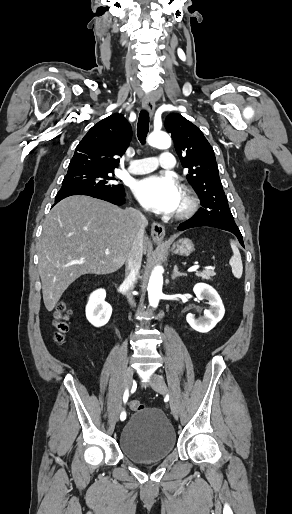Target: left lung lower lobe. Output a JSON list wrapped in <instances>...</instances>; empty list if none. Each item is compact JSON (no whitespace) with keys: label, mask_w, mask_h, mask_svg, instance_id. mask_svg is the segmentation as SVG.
Listing matches in <instances>:
<instances>
[{"label":"left lung lower lobe","mask_w":292,"mask_h":514,"mask_svg":"<svg viewBox=\"0 0 292 514\" xmlns=\"http://www.w3.org/2000/svg\"><path fill=\"white\" fill-rule=\"evenodd\" d=\"M201 226L215 227V228H218V229H222V230H226V231L232 232L238 238L240 244L244 247L243 237H242V235L240 233V230L237 227V225H229L227 223L216 221V220H199L194 215L189 220L181 223L178 226V230L179 231H183V230H186V229H189V228L201 227Z\"/></svg>","instance_id":"left-lung-lower-lobe-1"}]
</instances>
